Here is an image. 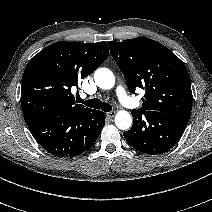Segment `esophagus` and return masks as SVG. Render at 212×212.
I'll return each instance as SVG.
<instances>
[{
  "instance_id": "esophagus-1",
  "label": "esophagus",
  "mask_w": 212,
  "mask_h": 212,
  "mask_svg": "<svg viewBox=\"0 0 212 212\" xmlns=\"http://www.w3.org/2000/svg\"><path fill=\"white\" fill-rule=\"evenodd\" d=\"M106 116L108 118H113L115 116V112L114 111L108 112V113H106Z\"/></svg>"
}]
</instances>
